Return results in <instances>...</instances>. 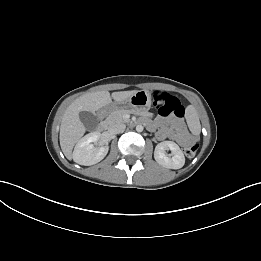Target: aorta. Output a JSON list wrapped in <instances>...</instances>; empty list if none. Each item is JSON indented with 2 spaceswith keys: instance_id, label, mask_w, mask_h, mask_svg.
Listing matches in <instances>:
<instances>
[{
  "instance_id": "aorta-1",
  "label": "aorta",
  "mask_w": 261,
  "mask_h": 261,
  "mask_svg": "<svg viewBox=\"0 0 261 261\" xmlns=\"http://www.w3.org/2000/svg\"><path fill=\"white\" fill-rule=\"evenodd\" d=\"M136 131L137 132H142L143 131V126L142 125H137L136 126Z\"/></svg>"
}]
</instances>
